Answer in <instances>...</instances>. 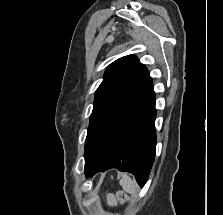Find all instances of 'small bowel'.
<instances>
[{
	"label": "small bowel",
	"instance_id": "1",
	"mask_svg": "<svg viewBox=\"0 0 223 215\" xmlns=\"http://www.w3.org/2000/svg\"><path fill=\"white\" fill-rule=\"evenodd\" d=\"M108 202H109L110 205L113 204V200L111 198H108Z\"/></svg>",
	"mask_w": 223,
	"mask_h": 215
}]
</instances>
